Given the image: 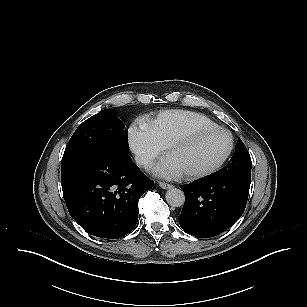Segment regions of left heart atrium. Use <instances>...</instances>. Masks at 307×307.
<instances>
[{
	"instance_id": "1",
	"label": "left heart atrium",
	"mask_w": 307,
	"mask_h": 307,
	"mask_svg": "<svg viewBox=\"0 0 307 307\" xmlns=\"http://www.w3.org/2000/svg\"><path fill=\"white\" fill-rule=\"evenodd\" d=\"M152 174L166 179L177 178L181 173L168 156L162 157L152 168Z\"/></svg>"
}]
</instances>
